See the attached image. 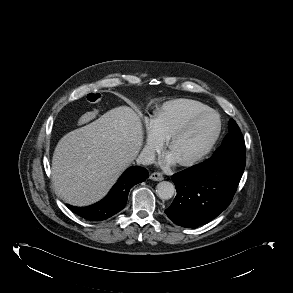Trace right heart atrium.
<instances>
[{"instance_id": "obj_1", "label": "right heart atrium", "mask_w": 293, "mask_h": 293, "mask_svg": "<svg viewBox=\"0 0 293 293\" xmlns=\"http://www.w3.org/2000/svg\"><path fill=\"white\" fill-rule=\"evenodd\" d=\"M144 127L146 132L145 145L143 148V156L147 161L153 160L155 154L162 148L164 139L155 129L151 118L144 119Z\"/></svg>"}]
</instances>
